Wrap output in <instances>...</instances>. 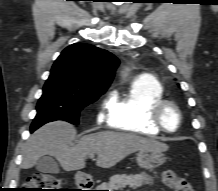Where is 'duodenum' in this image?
I'll list each match as a JSON object with an SVG mask.
<instances>
[{
  "label": "duodenum",
  "mask_w": 218,
  "mask_h": 191,
  "mask_svg": "<svg viewBox=\"0 0 218 191\" xmlns=\"http://www.w3.org/2000/svg\"><path fill=\"white\" fill-rule=\"evenodd\" d=\"M75 180L77 186L82 190L87 191L91 187L90 178L84 173L77 174Z\"/></svg>",
  "instance_id": "duodenum-1"
}]
</instances>
